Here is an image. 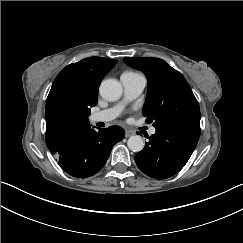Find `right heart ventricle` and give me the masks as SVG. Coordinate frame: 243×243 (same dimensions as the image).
I'll use <instances>...</instances> for the list:
<instances>
[{
	"mask_svg": "<svg viewBox=\"0 0 243 243\" xmlns=\"http://www.w3.org/2000/svg\"><path fill=\"white\" fill-rule=\"evenodd\" d=\"M140 76V74L136 71H125L121 74V78L126 79H136Z\"/></svg>",
	"mask_w": 243,
	"mask_h": 243,
	"instance_id": "1",
	"label": "right heart ventricle"
}]
</instances>
